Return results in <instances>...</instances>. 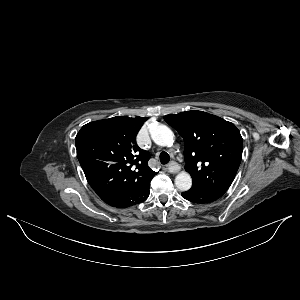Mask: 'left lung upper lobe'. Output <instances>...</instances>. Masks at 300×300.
<instances>
[{
	"instance_id": "left-lung-upper-lobe-1",
	"label": "left lung upper lobe",
	"mask_w": 300,
	"mask_h": 300,
	"mask_svg": "<svg viewBox=\"0 0 300 300\" xmlns=\"http://www.w3.org/2000/svg\"><path fill=\"white\" fill-rule=\"evenodd\" d=\"M184 139L185 169L192 187L225 193L239 168L243 139L237 127L203 111L164 116Z\"/></svg>"
}]
</instances>
